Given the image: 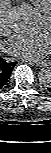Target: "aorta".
I'll return each mask as SVG.
<instances>
[{"mask_svg":"<svg viewBox=\"0 0 51 153\" xmlns=\"http://www.w3.org/2000/svg\"><path fill=\"white\" fill-rule=\"evenodd\" d=\"M41 23V15L33 6L22 3L12 8L9 14V24L18 33L30 34L36 32ZM39 82L48 87L51 85V69L44 67L38 72Z\"/></svg>","mask_w":51,"mask_h":153,"instance_id":"762f6f07","label":"aorta"}]
</instances>
